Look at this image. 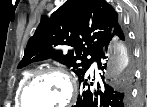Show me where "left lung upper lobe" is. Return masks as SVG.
Masks as SVG:
<instances>
[{
	"mask_svg": "<svg viewBox=\"0 0 147 107\" xmlns=\"http://www.w3.org/2000/svg\"><path fill=\"white\" fill-rule=\"evenodd\" d=\"M118 24L117 12L105 0H67L50 17L41 18L18 68L52 58L80 77Z\"/></svg>",
	"mask_w": 147,
	"mask_h": 107,
	"instance_id": "1",
	"label": "left lung upper lobe"
}]
</instances>
